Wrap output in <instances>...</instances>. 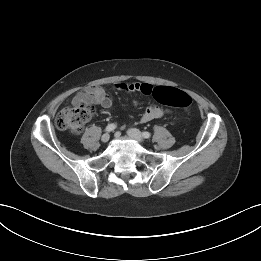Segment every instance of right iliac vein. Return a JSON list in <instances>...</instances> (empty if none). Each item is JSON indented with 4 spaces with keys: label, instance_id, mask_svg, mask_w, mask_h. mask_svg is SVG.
<instances>
[{
    "label": "right iliac vein",
    "instance_id": "1",
    "mask_svg": "<svg viewBox=\"0 0 261 261\" xmlns=\"http://www.w3.org/2000/svg\"><path fill=\"white\" fill-rule=\"evenodd\" d=\"M109 139H110V135L108 133L103 134L101 137V141L104 143L108 142Z\"/></svg>",
    "mask_w": 261,
    "mask_h": 261
}]
</instances>
